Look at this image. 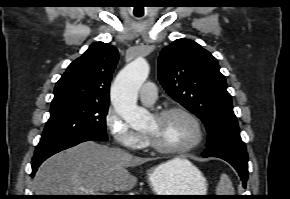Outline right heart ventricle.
<instances>
[{"label":"right heart ventricle","instance_id":"e07e8e85","mask_svg":"<svg viewBox=\"0 0 290 199\" xmlns=\"http://www.w3.org/2000/svg\"><path fill=\"white\" fill-rule=\"evenodd\" d=\"M147 146H148V143H147V140H145V142H144L142 148H146Z\"/></svg>","mask_w":290,"mask_h":199}]
</instances>
